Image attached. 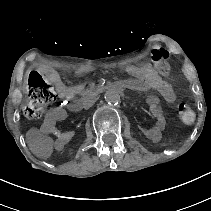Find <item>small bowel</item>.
<instances>
[{
    "label": "small bowel",
    "mask_w": 211,
    "mask_h": 211,
    "mask_svg": "<svg viewBox=\"0 0 211 211\" xmlns=\"http://www.w3.org/2000/svg\"><path fill=\"white\" fill-rule=\"evenodd\" d=\"M137 77L134 79L138 83L137 90H156L160 96L167 102L175 100V93L170 84L162 80L156 73L151 70L143 72H135ZM48 79L54 83L56 90L61 99H72L80 90V86H67L60 76L54 71H45ZM160 99L156 95H150L147 98L150 112L154 118V123L148 127L143 128L144 134L149 139H158L162 130L166 126V118L159 105ZM58 112H50L41 127V131L46 134H51L56 138L55 145L57 148L63 147L69 140L70 135L67 132L61 131L57 126Z\"/></svg>",
    "instance_id": "obj_1"
}]
</instances>
